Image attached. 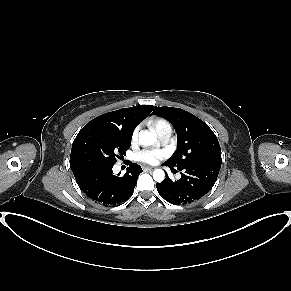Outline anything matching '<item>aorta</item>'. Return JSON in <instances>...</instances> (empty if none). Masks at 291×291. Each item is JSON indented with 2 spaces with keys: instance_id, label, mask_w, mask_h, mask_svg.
<instances>
[{
  "instance_id": "1",
  "label": "aorta",
  "mask_w": 291,
  "mask_h": 291,
  "mask_svg": "<svg viewBox=\"0 0 291 291\" xmlns=\"http://www.w3.org/2000/svg\"><path fill=\"white\" fill-rule=\"evenodd\" d=\"M156 141V136L148 131H141L139 133V142L142 145L149 146ZM165 178V173L162 169H156L153 172V179L157 182H162Z\"/></svg>"
}]
</instances>
